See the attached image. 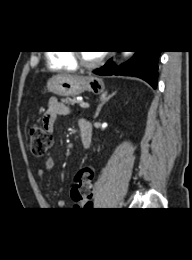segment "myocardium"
I'll list each match as a JSON object with an SVG mask.
<instances>
[{
  "mask_svg": "<svg viewBox=\"0 0 192 260\" xmlns=\"http://www.w3.org/2000/svg\"><path fill=\"white\" fill-rule=\"evenodd\" d=\"M71 54H72V57L74 58L75 62L78 65H80L84 68H88V69L97 67L99 64L102 63V61L104 59V55L101 54L94 61H87L83 57L82 52L77 51V50L72 51Z\"/></svg>",
  "mask_w": 192,
  "mask_h": 260,
  "instance_id": "myocardium-1",
  "label": "myocardium"
}]
</instances>
